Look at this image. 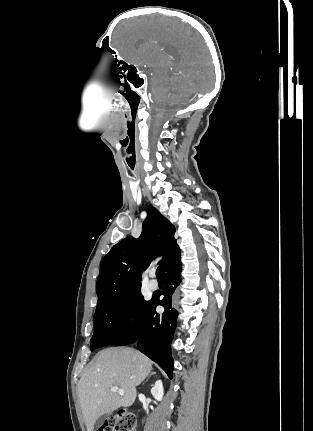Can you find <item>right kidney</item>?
I'll return each mask as SVG.
<instances>
[{
    "instance_id": "right-kidney-1",
    "label": "right kidney",
    "mask_w": 313,
    "mask_h": 431,
    "mask_svg": "<svg viewBox=\"0 0 313 431\" xmlns=\"http://www.w3.org/2000/svg\"><path fill=\"white\" fill-rule=\"evenodd\" d=\"M152 396L157 400L161 401L164 395L162 381L158 380L155 382L154 386L151 389Z\"/></svg>"
}]
</instances>
